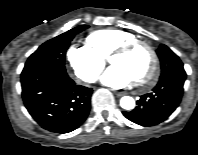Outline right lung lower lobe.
I'll use <instances>...</instances> for the list:
<instances>
[{
	"mask_svg": "<svg viewBox=\"0 0 198 155\" xmlns=\"http://www.w3.org/2000/svg\"><path fill=\"white\" fill-rule=\"evenodd\" d=\"M21 84L25 107L46 130L71 132L89 114L92 89L76 85L63 70L46 65H28L21 73Z\"/></svg>",
	"mask_w": 198,
	"mask_h": 155,
	"instance_id": "1",
	"label": "right lung lower lobe"
}]
</instances>
